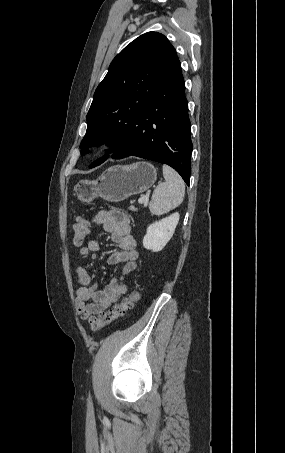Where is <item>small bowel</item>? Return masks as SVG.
I'll use <instances>...</instances> for the list:
<instances>
[{"mask_svg":"<svg viewBox=\"0 0 285 453\" xmlns=\"http://www.w3.org/2000/svg\"><path fill=\"white\" fill-rule=\"evenodd\" d=\"M92 223L110 234L111 242L119 250L112 252L108 263H123L117 278L109 281L103 290H97L96 284L85 266L76 267V309L82 319L103 312L127 292L126 281L128 276L136 270L139 253L136 240L131 232L129 217L118 210L101 211L92 218ZM100 249L97 239L91 238L86 246L79 250L81 257H87Z\"/></svg>","mask_w":285,"mask_h":453,"instance_id":"1","label":"small bowel"}]
</instances>
